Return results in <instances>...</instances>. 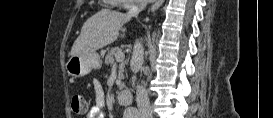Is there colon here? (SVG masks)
<instances>
[{"label":"colon","instance_id":"colon-1","mask_svg":"<svg viewBox=\"0 0 273 118\" xmlns=\"http://www.w3.org/2000/svg\"><path fill=\"white\" fill-rule=\"evenodd\" d=\"M72 111L77 115H83L87 112V104L81 95H74L71 100Z\"/></svg>","mask_w":273,"mask_h":118}]
</instances>
